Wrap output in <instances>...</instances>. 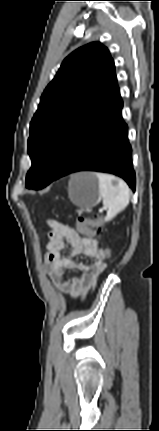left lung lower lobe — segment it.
I'll use <instances>...</instances> for the list:
<instances>
[{
  "label": "left lung lower lobe",
  "instance_id": "0a47b994",
  "mask_svg": "<svg viewBox=\"0 0 159 431\" xmlns=\"http://www.w3.org/2000/svg\"><path fill=\"white\" fill-rule=\"evenodd\" d=\"M122 107L119 93L78 131L53 180L78 171L106 172L120 176L135 191L132 148L128 141V127L121 115Z\"/></svg>",
  "mask_w": 159,
  "mask_h": 431
}]
</instances>
